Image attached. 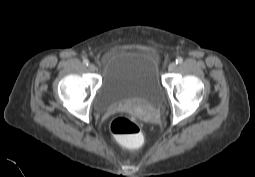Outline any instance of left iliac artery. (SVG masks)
Instances as JSON below:
<instances>
[{"instance_id":"44dca946","label":"left iliac artery","mask_w":255,"mask_h":177,"mask_svg":"<svg viewBox=\"0 0 255 177\" xmlns=\"http://www.w3.org/2000/svg\"><path fill=\"white\" fill-rule=\"evenodd\" d=\"M182 62H183V59L181 58V57H178L177 59H176V64H182Z\"/></svg>"}]
</instances>
